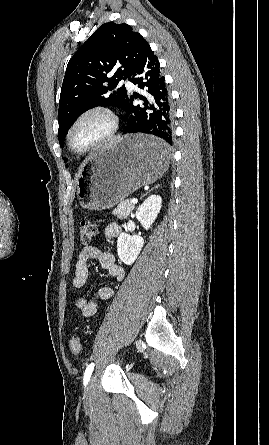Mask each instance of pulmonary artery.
<instances>
[{
	"instance_id": "e3ab8cb5",
	"label": "pulmonary artery",
	"mask_w": 269,
	"mask_h": 445,
	"mask_svg": "<svg viewBox=\"0 0 269 445\" xmlns=\"http://www.w3.org/2000/svg\"><path fill=\"white\" fill-rule=\"evenodd\" d=\"M121 84H125L126 87L129 88V89H132L134 87V85L130 81H128V80L121 81Z\"/></svg>"
}]
</instances>
